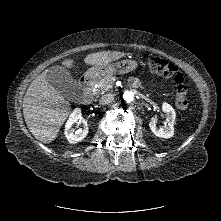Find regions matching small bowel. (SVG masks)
Listing matches in <instances>:
<instances>
[{"label":"small bowel","instance_id":"c3829d8e","mask_svg":"<svg viewBox=\"0 0 221 221\" xmlns=\"http://www.w3.org/2000/svg\"><path fill=\"white\" fill-rule=\"evenodd\" d=\"M131 84L135 87H137L139 85V81L135 78L131 79Z\"/></svg>","mask_w":221,"mask_h":221}]
</instances>
